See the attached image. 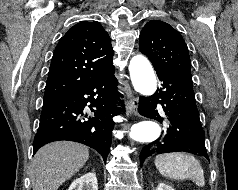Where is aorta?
<instances>
[{"label": "aorta", "mask_w": 238, "mask_h": 190, "mask_svg": "<svg viewBox=\"0 0 238 190\" xmlns=\"http://www.w3.org/2000/svg\"><path fill=\"white\" fill-rule=\"evenodd\" d=\"M129 71L134 89L143 96H151L156 91V77L146 57L136 55L130 60ZM161 128L153 120H143L131 127L129 137L140 143H151L159 138Z\"/></svg>", "instance_id": "aorta-1"}]
</instances>
